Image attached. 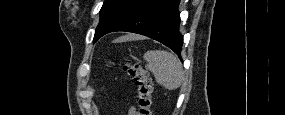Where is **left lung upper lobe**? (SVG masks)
<instances>
[{
  "mask_svg": "<svg viewBox=\"0 0 285 115\" xmlns=\"http://www.w3.org/2000/svg\"><path fill=\"white\" fill-rule=\"evenodd\" d=\"M129 2L130 0H105L100 10V21L95 31L94 43L102 37L104 29L112 18Z\"/></svg>",
  "mask_w": 285,
  "mask_h": 115,
  "instance_id": "obj_1",
  "label": "left lung upper lobe"
}]
</instances>
